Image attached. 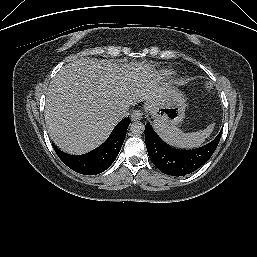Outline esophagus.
Instances as JSON below:
<instances>
[{"label":"esophagus","instance_id":"obj_1","mask_svg":"<svg viewBox=\"0 0 257 257\" xmlns=\"http://www.w3.org/2000/svg\"><path fill=\"white\" fill-rule=\"evenodd\" d=\"M142 116H143V113L142 111L140 110H134L131 114V120L132 121H137V120H141L142 119Z\"/></svg>","mask_w":257,"mask_h":257}]
</instances>
